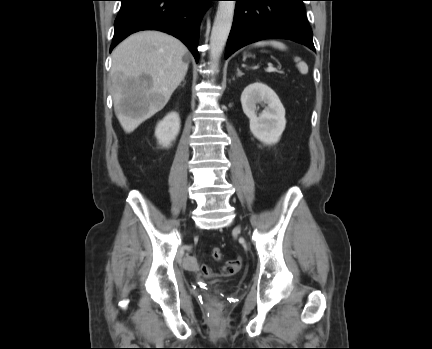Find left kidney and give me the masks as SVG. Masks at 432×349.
Wrapping results in <instances>:
<instances>
[{"label": "left kidney", "instance_id": "5707ae66", "mask_svg": "<svg viewBox=\"0 0 432 349\" xmlns=\"http://www.w3.org/2000/svg\"><path fill=\"white\" fill-rule=\"evenodd\" d=\"M267 104L259 116L256 104ZM242 109L249 118L251 133L266 145L276 144L285 129V109L277 94L266 84L255 82L248 85L241 95Z\"/></svg>", "mask_w": 432, "mask_h": 349}]
</instances>
